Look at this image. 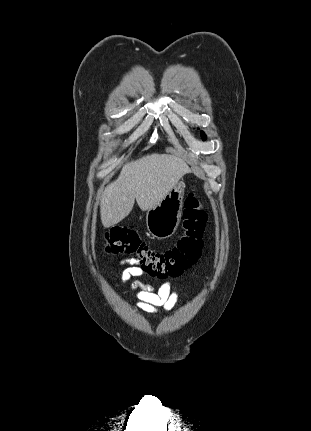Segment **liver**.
Returning <instances> with one entry per match:
<instances>
[{"instance_id": "1", "label": "liver", "mask_w": 311, "mask_h": 431, "mask_svg": "<svg viewBox=\"0 0 311 431\" xmlns=\"http://www.w3.org/2000/svg\"><path fill=\"white\" fill-rule=\"evenodd\" d=\"M191 172L184 160L170 154H151L128 162L101 196L102 225L112 227L129 216L135 200L142 212L152 210Z\"/></svg>"}]
</instances>
